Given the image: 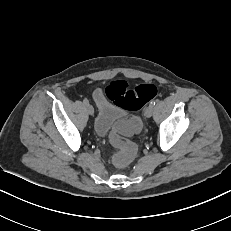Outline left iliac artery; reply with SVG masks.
<instances>
[{
    "label": "left iliac artery",
    "instance_id": "obj_1",
    "mask_svg": "<svg viewBox=\"0 0 231 231\" xmlns=\"http://www.w3.org/2000/svg\"><path fill=\"white\" fill-rule=\"evenodd\" d=\"M150 104L154 106L156 104V100H152Z\"/></svg>",
    "mask_w": 231,
    "mask_h": 231
}]
</instances>
